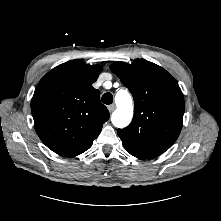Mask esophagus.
<instances>
[{
	"instance_id": "1",
	"label": "esophagus",
	"mask_w": 221,
	"mask_h": 221,
	"mask_svg": "<svg viewBox=\"0 0 221 221\" xmlns=\"http://www.w3.org/2000/svg\"><path fill=\"white\" fill-rule=\"evenodd\" d=\"M107 108H108L109 112H113L115 109V105L114 104L108 105Z\"/></svg>"
}]
</instances>
